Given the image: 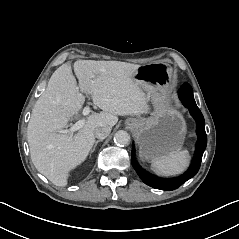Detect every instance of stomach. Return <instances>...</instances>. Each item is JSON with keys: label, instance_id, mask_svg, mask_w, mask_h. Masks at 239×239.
Listing matches in <instances>:
<instances>
[{"label": "stomach", "instance_id": "stomach-1", "mask_svg": "<svg viewBox=\"0 0 239 239\" xmlns=\"http://www.w3.org/2000/svg\"><path fill=\"white\" fill-rule=\"evenodd\" d=\"M137 79L148 81L158 89H163L169 83L168 72L152 71L149 66L139 70ZM159 92V101L154 105L150 118L140 119L134 132L140 146V155L146 161L154 162L163 159L171 153L178 152L185 136V123L176 111L170 99ZM132 118H128L126 121Z\"/></svg>", "mask_w": 239, "mask_h": 239}]
</instances>
